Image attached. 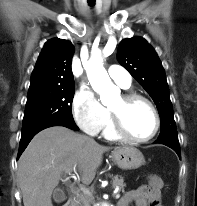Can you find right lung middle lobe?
Returning a JSON list of instances; mask_svg holds the SVG:
<instances>
[{"mask_svg":"<svg viewBox=\"0 0 197 206\" xmlns=\"http://www.w3.org/2000/svg\"><path fill=\"white\" fill-rule=\"evenodd\" d=\"M74 92V86L29 89L22 131L45 122L75 123L72 116Z\"/></svg>","mask_w":197,"mask_h":206,"instance_id":"1","label":"right lung middle lobe"}]
</instances>
